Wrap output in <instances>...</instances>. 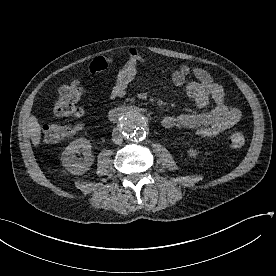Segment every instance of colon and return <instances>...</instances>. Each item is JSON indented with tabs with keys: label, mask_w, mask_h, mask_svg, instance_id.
<instances>
[{
	"label": "colon",
	"mask_w": 276,
	"mask_h": 276,
	"mask_svg": "<svg viewBox=\"0 0 276 276\" xmlns=\"http://www.w3.org/2000/svg\"><path fill=\"white\" fill-rule=\"evenodd\" d=\"M83 91L79 83L74 81L62 86L54 103V112L63 118H76L83 114L79 105ZM74 128L64 125H46L43 127L44 140L47 143H56L69 138ZM227 143L231 148L239 149L245 144L244 134L239 130H232L227 135Z\"/></svg>",
	"instance_id": "colon-1"
}]
</instances>
